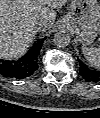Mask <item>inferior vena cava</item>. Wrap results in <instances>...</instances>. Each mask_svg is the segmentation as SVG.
Wrapping results in <instances>:
<instances>
[{
  "label": "inferior vena cava",
  "mask_w": 100,
  "mask_h": 118,
  "mask_svg": "<svg viewBox=\"0 0 100 118\" xmlns=\"http://www.w3.org/2000/svg\"><path fill=\"white\" fill-rule=\"evenodd\" d=\"M34 30L36 32H44L46 30H48V26L43 24V23H37L36 25H34Z\"/></svg>",
  "instance_id": "obj_1"
}]
</instances>
